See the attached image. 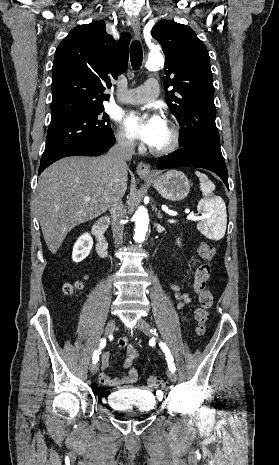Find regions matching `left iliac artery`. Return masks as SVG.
Wrapping results in <instances>:
<instances>
[{"instance_id":"44dca946","label":"left iliac artery","mask_w":279,"mask_h":465,"mask_svg":"<svg viewBox=\"0 0 279 465\" xmlns=\"http://www.w3.org/2000/svg\"><path fill=\"white\" fill-rule=\"evenodd\" d=\"M159 346L161 347L162 351L165 353L166 360H167L168 367H169L170 371L175 372L176 367H175V364L173 362V357H172V355L170 353V350L168 349L166 344H164L162 342L159 343Z\"/></svg>"}]
</instances>
